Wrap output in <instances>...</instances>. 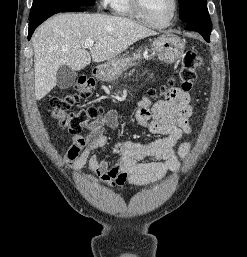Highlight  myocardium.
I'll return each instance as SVG.
<instances>
[{
  "instance_id": "f54148a6",
  "label": "myocardium",
  "mask_w": 247,
  "mask_h": 257,
  "mask_svg": "<svg viewBox=\"0 0 247 257\" xmlns=\"http://www.w3.org/2000/svg\"><path fill=\"white\" fill-rule=\"evenodd\" d=\"M131 5L134 9V11L137 13L138 17L148 26L157 28V29H162L170 26L174 19L176 18L178 8H179V2L178 0H173V12L171 17L166 23L163 24H157L149 19V17L146 15L144 7H143V1L142 0H130Z\"/></svg>"
}]
</instances>
